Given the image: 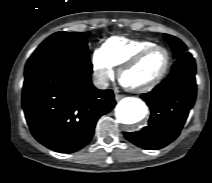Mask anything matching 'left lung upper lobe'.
<instances>
[{"label":"left lung upper lobe","instance_id":"obj_1","mask_svg":"<svg viewBox=\"0 0 212 183\" xmlns=\"http://www.w3.org/2000/svg\"><path fill=\"white\" fill-rule=\"evenodd\" d=\"M164 38L171 46L175 58H179L186 53L187 47L180 39L169 34H164Z\"/></svg>","mask_w":212,"mask_h":183}]
</instances>
